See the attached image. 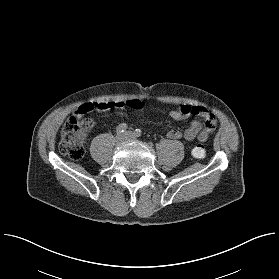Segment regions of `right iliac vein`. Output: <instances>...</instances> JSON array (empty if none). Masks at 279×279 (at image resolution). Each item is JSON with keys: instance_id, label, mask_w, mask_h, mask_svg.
Here are the masks:
<instances>
[{"instance_id": "obj_1", "label": "right iliac vein", "mask_w": 279, "mask_h": 279, "mask_svg": "<svg viewBox=\"0 0 279 279\" xmlns=\"http://www.w3.org/2000/svg\"><path fill=\"white\" fill-rule=\"evenodd\" d=\"M125 140V137L124 135H121V134H117L116 137H115V144L118 146V145H121L123 143V141Z\"/></svg>"}]
</instances>
